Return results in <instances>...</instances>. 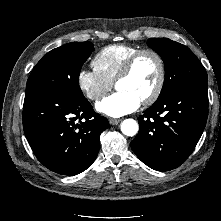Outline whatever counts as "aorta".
Listing matches in <instances>:
<instances>
[{
	"label": "aorta",
	"instance_id": "obj_1",
	"mask_svg": "<svg viewBox=\"0 0 221 221\" xmlns=\"http://www.w3.org/2000/svg\"><path fill=\"white\" fill-rule=\"evenodd\" d=\"M121 132L126 136H134L138 133L139 125L134 119H125L120 125Z\"/></svg>",
	"mask_w": 221,
	"mask_h": 221
}]
</instances>
